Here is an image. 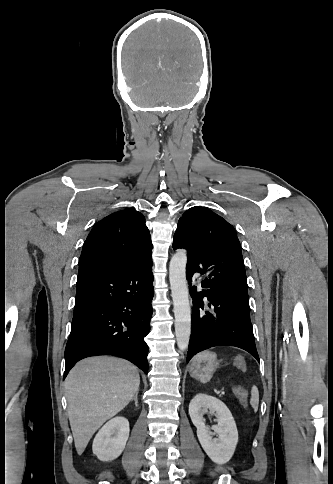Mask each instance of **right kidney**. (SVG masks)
Instances as JSON below:
<instances>
[{
	"instance_id": "1",
	"label": "right kidney",
	"mask_w": 333,
	"mask_h": 484,
	"mask_svg": "<svg viewBox=\"0 0 333 484\" xmlns=\"http://www.w3.org/2000/svg\"><path fill=\"white\" fill-rule=\"evenodd\" d=\"M129 430V422L124 417L109 420L94 438L93 453L103 462L116 459L126 446Z\"/></svg>"
}]
</instances>
